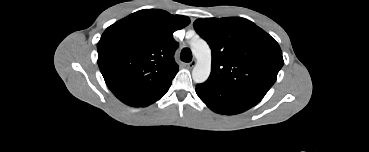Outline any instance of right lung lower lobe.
I'll return each mask as SVG.
<instances>
[{
  "instance_id": "1",
  "label": "right lung lower lobe",
  "mask_w": 369,
  "mask_h": 152,
  "mask_svg": "<svg viewBox=\"0 0 369 152\" xmlns=\"http://www.w3.org/2000/svg\"><path fill=\"white\" fill-rule=\"evenodd\" d=\"M171 85V84H170ZM170 85L168 87H166L162 92H160L159 94L153 96V97H150L148 99H145L143 101H140L136 104H132L130 106H133V107H145V106H148L152 103H154L155 101L159 100L169 89Z\"/></svg>"
}]
</instances>
